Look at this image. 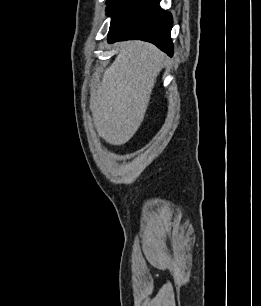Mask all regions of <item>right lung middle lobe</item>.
<instances>
[{
  "instance_id": "right-lung-middle-lobe-1",
  "label": "right lung middle lobe",
  "mask_w": 261,
  "mask_h": 306,
  "mask_svg": "<svg viewBox=\"0 0 261 306\" xmlns=\"http://www.w3.org/2000/svg\"><path fill=\"white\" fill-rule=\"evenodd\" d=\"M112 0H107V3L109 4Z\"/></svg>"
}]
</instances>
